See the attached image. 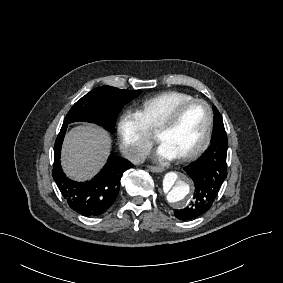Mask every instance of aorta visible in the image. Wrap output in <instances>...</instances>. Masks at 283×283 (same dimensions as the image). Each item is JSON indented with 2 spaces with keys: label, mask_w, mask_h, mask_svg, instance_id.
Returning <instances> with one entry per match:
<instances>
[{
  "label": "aorta",
  "mask_w": 283,
  "mask_h": 283,
  "mask_svg": "<svg viewBox=\"0 0 283 283\" xmlns=\"http://www.w3.org/2000/svg\"><path fill=\"white\" fill-rule=\"evenodd\" d=\"M160 194L170 205L185 207L192 200L193 182L184 172H168L163 177Z\"/></svg>",
  "instance_id": "762f6f07"
}]
</instances>
